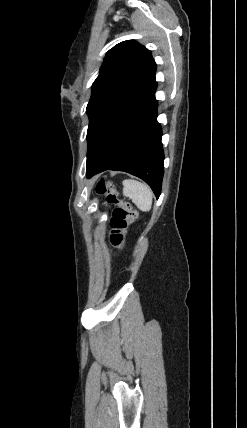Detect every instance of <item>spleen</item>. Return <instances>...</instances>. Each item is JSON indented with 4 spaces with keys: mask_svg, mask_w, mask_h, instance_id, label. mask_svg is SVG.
Returning <instances> with one entry per match:
<instances>
[{
    "mask_svg": "<svg viewBox=\"0 0 247 428\" xmlns=\"http://www.w3.org/2000/svg\"><path fill=\"white\" fill-rule=\"evenodd\" d=\"M123 195L131 198L132 202L144 212L151 209L153 193L148 185L136 180H124Z\"/></svg>",
    "mask_w": 247,
    "mask_h": 428,
    "instance_id": "3e777b00",
    "label": "spleen"
}]
</instances>
